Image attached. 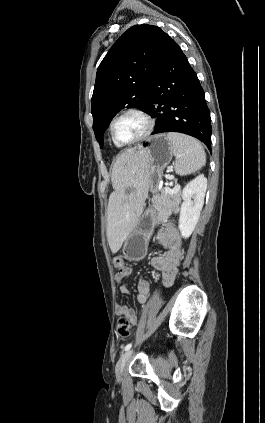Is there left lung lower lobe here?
I'll return each mask as SVG.
<instances>
[{"instance_id":"0a47b994","label":"left lung lower lobe","mask_w":265,"mask_h":423,"mask_svg":"<svg viewBox=\"0 0 265 423\" xmlns=\"http://www.w3.org/2000/svg\"><path fill=\"white\" fill-rule=\"evenodd\" d=\"M145 111L157 118L152 134L181 132L211 151V120L204 90L179 45L166 35L148 89Z\"/></svg>"}]
</instances>
